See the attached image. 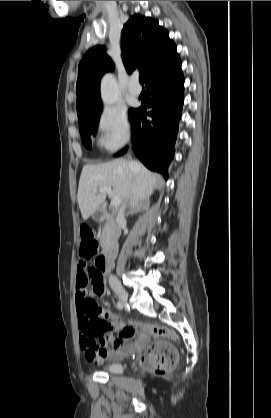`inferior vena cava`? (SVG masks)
<instances>
[{
	"instance_id": "602c4592",
	"label": "inferior vena cava",
	"mask_w": 271,
	"mask_h": 418,
	"mask_svg": "<svg viewBox=\"0 0 271 418\" xmlns=\"http://www.w3.org/2000/svg\"><path fill=\"white\" fill-rule=\"evenodd\" d=\"M131 164H133V163H131ZM131 189L133 190V185L131 186ZM124 211H125V208H124V206H122L120 209H119V211H118V216H117V218H116V221L117 222H123V221H125V218H124ZM109 283L110 284H117L118 283V280L116 279V277L115 276H113V275H110V277H109Z\"/></svg>"
}]
</instances>
